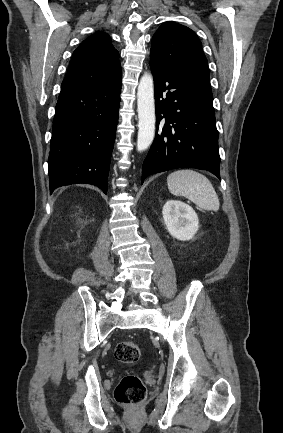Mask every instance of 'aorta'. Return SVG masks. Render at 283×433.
Segmentation results:
<instances>
[{"mask_svg": "<svg viewBox=\"0 0 283 433\" xmlns=\"http://www.w3.org/2000/svg\"><path fill=\"white\" fill-rule=\"evenodd\" d=\"M138 137L137 150L144 151L152 144L155 136V100L153 76L145 73L137 90Z\"/></svg>", "mask_w": 283, "mask_h": 433, "instance_id": "obj_1", "label": "aorta"}]
</instances>
